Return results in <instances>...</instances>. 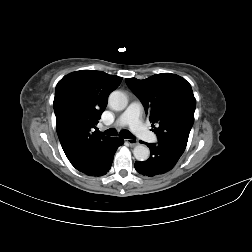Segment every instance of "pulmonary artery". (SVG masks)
Instances as JSON below:
<instances>
[{
  "label": "pulmonary artery",
  "mask_w": 252,
  "mask_h": 252,
  "mask_svg": "<svg viewBox=\"0 0 252 252\" xmlns=\"http://www.w3.org/2000/svg\"><path fill=\"white\" fill-rule=\"evenodd\" d=\"M142 105L139 102H132L120 115L117 124L119 126H129L131 131L139 138L151 141L155 135L150 132L140 121Z\"/></svg>",
  "instance_id": "obj_1"
}]
</instances>
